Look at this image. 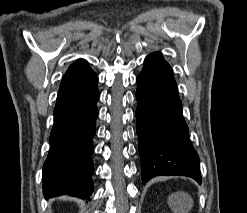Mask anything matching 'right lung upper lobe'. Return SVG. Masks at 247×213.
<instances>
[{"mask_svg":"<svg viewBox=\"0 0 247 213\" xmlns=\"http://www.w3.org/2000/svg\"><path fill=\"white\" fill-rule=\"evenodd\" d=\"M87 64L88 63L85 60L79 59L77 62H75L72 65H70V67L68 68L66 73L70 72V71H74V70H77V69H81V68L87 67Z\"/></svg>","mask_w":247,"mask_h":213,"instance_id":"right-lung-upper-lobe-1","label":"right lung upper lobe"}]
</instances>
